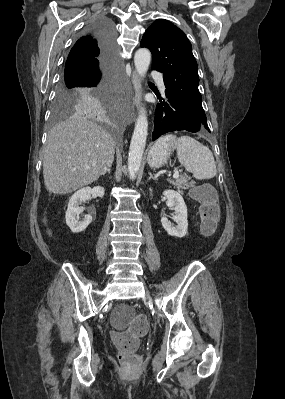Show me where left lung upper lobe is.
Wrapping results in <instances>:
<instances>
[{
    "label": "left lung upper lobe",
    "instance_id": "5c2ea615",
    "mask_svg": "<svg viewBox=\"0 0 285 399\" xmlns=\"http://www.w3.org/2000/svg\"><path fill=\"white\" fill-rule=\"evenodd\" d=\"M140 46L151 51L152 68L163 73L165 93L175 96L209 131L198 90L197 62L185 33L170 21L157 19Z\"/></svg>",
    "mask_w": 285,
    "mask_h": 399
}]
</instances>
